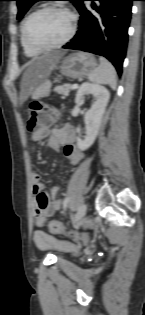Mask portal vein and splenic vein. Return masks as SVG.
Listing matches in <instances>:
<instances>
[{"label":"portal vein and splenic vein","mask_w":145,"mask_h":315,"mask_svg":"<svg viewBox=\"0 0 145 315\" xmlns=\"http://www.w3.org/2000/svg\"><path fill=\"white\" fill-rule=\"evenodd\" d=\"M76 88H78V85H77V84H73V85L71 86V89H76Z\"/></svg>","instance_id":"1"}]
</instances>
